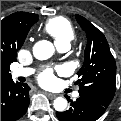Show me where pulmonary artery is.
<instances>
[{"label": "pulmonary artery", "mask_w": 121, "mask_h": 121, "mask_svg": "<svg viewBox=\"0 0 121 121\" xmlns=\"http://www.w3.org/2000/svg\"><path fill=\"white\" fill-rule=\"evenodd\" d=\"M70 48V45H62V46H59L58 47V50L60 52H66L68 51ZM33 72V69L31 68H16L14 69L12 72H11V75L13 78H18V77H25V76H29L31 75ZM79 96V93L78 92H75L73 94V97L74 98H77Z\"/></svg>", "instance_id": "obj_1"}]
</instances>
